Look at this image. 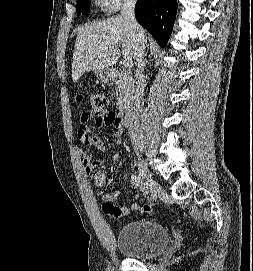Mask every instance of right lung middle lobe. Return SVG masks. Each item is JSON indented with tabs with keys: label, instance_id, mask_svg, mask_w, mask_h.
<instances>
[{
	"label": "right lung middle lobe",
	"instance_id": "obj_1",
	"mask_svg": "<svg viewBox=\"0 0 253 271\" xmlns=\"http://www.w3.org/2000/svg\"><path fill=\"white\" fill-rule=\"evenodd\" d=\"M89 8V0H77V14L86 13Z\"/></svg>",
	"mask_w": 253,
	"mask_h": 271
}]
</instances>
